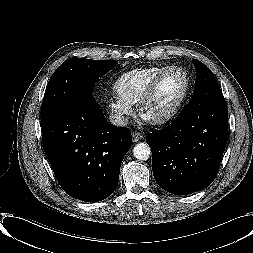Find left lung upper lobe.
I'll return each mask as SVG.
<instances>
[{
	"instance_id": "1",
	"label": "left lung upper lobe",
	"mask_w": 253,
	"mask_h": 253,
	"mask_svg": "<svg viewBox=\"0 0 253 253\" xmlns=\"http://www.w3.org/2000/svg\"><path fill=\"white\" fill-rule=\"evenodd\" d=\"M193 63L196 68L195 89L188 105L205 106L223 97L212 72L196 59H193Z\"/></svg>"
}]
</instances>
